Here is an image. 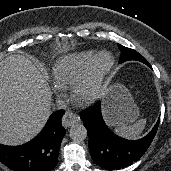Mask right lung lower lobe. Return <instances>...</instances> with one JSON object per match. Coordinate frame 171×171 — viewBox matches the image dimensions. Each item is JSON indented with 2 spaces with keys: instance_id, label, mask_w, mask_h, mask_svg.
<instances>
[{
  "instance_id": "1",
  "label": "right lung lower lobe",
  "mask_w": 171,
  "mask_h": 171,
  "mask_svg": "<svg viewBox=\"0 0 171 171\" xmlns=\"http://www.w3.org/2000/svg\"><path fill=\"white\" fill-rule=\"evenodd\" d=\"M63 110L54 112L43 130L30 142L20 146L0 144V161L13 171H52L65 129L61 125Z\"/></svg>"
}]
</instances>
